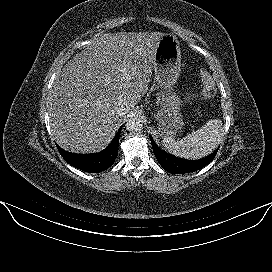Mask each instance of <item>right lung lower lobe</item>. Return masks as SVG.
Returning <instances> with one entry per match:
<instances>
[{
    "mask_svg": "<svg viewBox=\"0 0 272 272\" xmlns=\"http://www.w3.org/2000/svg\"><path fill=\"white\" fill-rule=\"evenodd\" d=\"M121 129L122 127L119 128L110 145L99 153L75 154L67 152L61 149L59 146H57V148L64 160L73 167L88 173L101 172L112 166L117 157Z\"/></svg>",
    "mask_w": 272,
    "mask_h": 272,
    "instance_id": "right-lung-lower-lobe-1",
    "label": "right lung lower lobe"
}]
</instances>
